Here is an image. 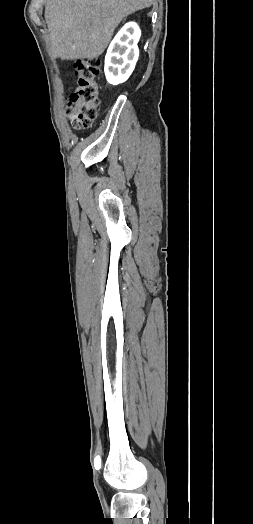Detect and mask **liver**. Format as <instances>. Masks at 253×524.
Segmentation results:
<instances>
[{
	"label": "liver",
	"instance_id": "liver-1",
	"mask_svg": "<svg viewBox=\"0 0 253 524\" xmlns=\"http://www.w3.org/2000/svg\"><path fill=\"white\" fill-rule=\"evenodd\" d=\"M154 0H47L45 20L53 58L93 59L101 55L126 16Z\"/></svg>",
	"mask_w": 253,
	"mask_h": 524
}]
</instances>
